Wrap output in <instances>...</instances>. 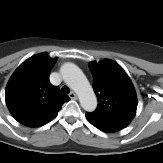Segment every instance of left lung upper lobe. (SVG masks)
<instances>
[{"label": "left lung upper lobe", "instance_id": "left-lung-upper-lobe-1", "mask_svg": "<svg viewBox=\"0 0 163 163\" xmlns=\"http://www.w3.org/2000/svg\"><path fill=\"white\" fill-rule=\"evenodd\" d=\"M90 70L98 106L86 115L95 120L130 123L136 114L137 96L126 72L109 59L91 62Z\"/></svg>", "mask_w": 163, "mask_h": 163}]
</instances>
